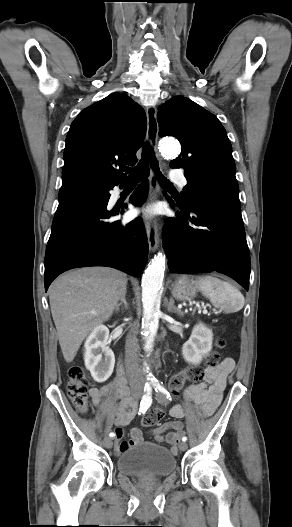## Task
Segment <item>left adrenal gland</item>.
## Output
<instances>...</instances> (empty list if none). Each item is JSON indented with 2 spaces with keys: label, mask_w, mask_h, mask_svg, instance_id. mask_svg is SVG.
<instances>
[{
  "label": "left adrenal gland",
  "mask_w": 292,
  "mask_h": 527,
  "mask_svg": "<svg viewBox=\"0 0 292 527\" xmlns=\"http://www.w3.org/2000/svg\"><path fill=\"white\" fill-rule=\"evenodd\" d=\"M167 310L168 312H174V313H177L178 315L183 316V312L180 309L175 307L173 298H170L169 303L167 304Z\"/></svg>",
  "instance_id": "1"
}]
</instances>
